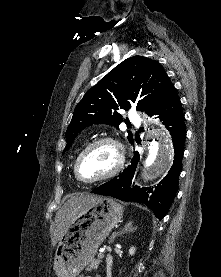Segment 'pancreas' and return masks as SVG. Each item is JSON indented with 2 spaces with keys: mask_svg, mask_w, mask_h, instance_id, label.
I'll return each instance as SVG.
<instances>
[{
  "mask_svg": "<svg viewBox=\"0 0 221 277\" xmlns=\"http://www.w3.org/2000/svg\"><path fill=\"white\" fill-rule=\"evenodd\" d=\"M100 263H101V257L93 259L90 262V264L87 265L86 270L88 271L97 270Z\"/></svg>",
  "mask_w": 221,
  "mask_h": 277,
  "instance_id": "obj_1",
  "label": "pancreas"
}]
</instances>
